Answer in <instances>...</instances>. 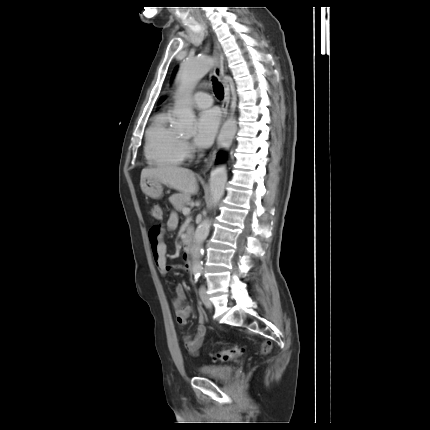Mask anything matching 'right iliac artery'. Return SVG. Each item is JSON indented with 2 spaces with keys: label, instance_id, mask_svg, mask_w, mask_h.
I'll use <instances>...</instances> for the list:
<instances>
[{
  "label": "right iliac artery",
  "instance_id": "right-iliac-artery-1",
  "mask_svg": "<svg viewBox=\"0 0 430 430\" xmlns=\"http://www.w3.org/2000/svg\"><path fill=\"white\" fill-rule=\"evenodd\" d=\"M194 275H195V281H197V279L199 278V275L196 273Z\"/></svg>",
  "mask_w": 430,
  "mask_h": 430
}]
</instances>
